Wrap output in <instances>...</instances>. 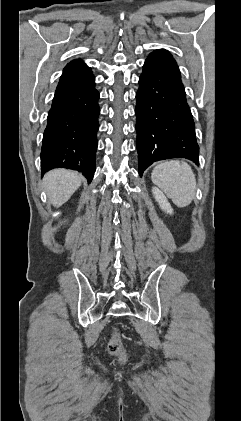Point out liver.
<instances>
[{"label": "liver", "instance_id": "obj_1", "mask_svg": "<svg viewBox=\"0 0 241 421\" xmlns=\"http://www.w3.org/2000/svg\"><path fill=\"white\" fill-rule=\"evenodd\" d=\"M83 177L77 172L66 169H55L43 178V186L48 200L54 207L67 202L80 187Z\"/></svg>", "mask_w": 241, "mask_h": 421}]
</instances>
